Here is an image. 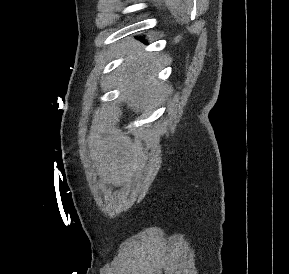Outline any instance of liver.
<instances>
[{
	"mask_svg": "<svg viewBox=\"0 0 289 274\" xmlns=\"http://www.w3.org/2000/svg\"><path fill=\"white\" fill-rule=\"evenodd\" d=\"M137 42H122L116 46L119 56L126 57L119 68V83L124 90L126 104L133 111H150L161 103L170 89L155 76L161 68L160 58L153 53H142Z\"/></svg>",
	"mask_w": 289,
	"mask_h": 274,
	"instance_id": "1",
	"label": "liver"
}]
</instances>
